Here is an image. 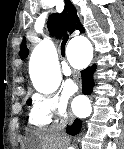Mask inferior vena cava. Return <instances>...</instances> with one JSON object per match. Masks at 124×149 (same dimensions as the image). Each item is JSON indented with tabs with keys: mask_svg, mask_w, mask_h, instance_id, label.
<instances>
[{
	"mask_svg": "<svg viewBox=\"0 0 124 149\" xmlns=\"http://www.w3.org/2000/svg\"><path fill=\"white\" fill-rule=\"evenodd\" d=\"M62 126L57 127V131L61 128Z\"/></svg>",
	"mask_w": 124,
	"mask_h": 149,
	"instance_id": "1",
	"label": "inferior vena cava"
}]
</instances>
